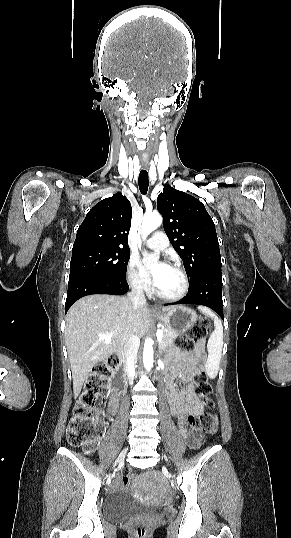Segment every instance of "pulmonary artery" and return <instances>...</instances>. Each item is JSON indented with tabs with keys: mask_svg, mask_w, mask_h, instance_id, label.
I'll return each mask as SVG.
<instances>
[{
	"mask_svg": "<svg viewBox=\"0 0 291 538\" xmlns=\"http://www.w3.org/2000/svg\"><path fill=\"white\" fill-rule=\"evenodd\" d=\"M149 248L155 250H166L169 246V240L166 234L162 231H157L146 241Z\"/></svg>",
	"mask_w": 291,
	"mask_h": 538,
	"instance_id": "obj_1",
	"label": "pulmonary artery"
}]
</instances>
